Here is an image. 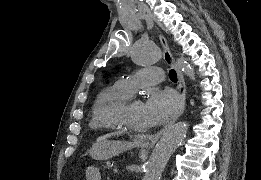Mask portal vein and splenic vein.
Instances as JSON below:
<instances>
[{"mask_svg": "<svg viewBox=\"0 0 261 180\" xmlns=\"http://www.w3.org/2000/svg\"><path fill=\"white\" fill-rule=\"evenodd\" d=\"M119 173V168H114V174Z\"/></svg>", "mask_w": 261, "mask_h": 180, "instance_id": "obj_1", "label": "portal vein and splenic vein"}]
</instances>
